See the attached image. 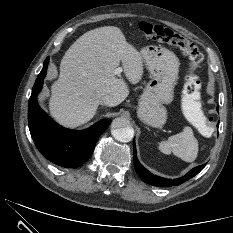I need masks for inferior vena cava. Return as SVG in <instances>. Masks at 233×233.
<instances>
[{
  "label": "inferior vena cava",
  "mask_w": 233,
  "mask_h": 233,
  "mask_svg": "<svg viewBox=\"0 0 233 233\" xmlns=\"http://www.w3.org/2000/svg\"><path fill=\"white\" fill-rule=\"evenodd\" d=\"M101 105L114 106L115 99L111 95H105L100 100Z\"/></svg>",
  "instance_id": "obj_1"
}]
</instances>
